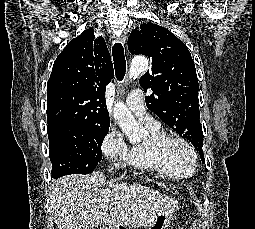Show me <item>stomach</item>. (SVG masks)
<instances>
[{
  "label": "stomach",
  "mask_w": 255,
  "mask_h": 229,
  "mask_svg": "<svg viewBox=\"0 0 255 229\" xmlns=\"http://www.w3.org/2000/svg\"><path fill=\"white\" fill-rule=\"evenodd\" d=\"M176 206L170 207L168 210L156 214L146 225L145 229H169L170 223L174 218ZM124 227V226H123ZM130 229L129 227H124ZM104 229H119V225H109Z\"/></svg>",
  "instance_id": "stomach-1"
}]
</instances>
